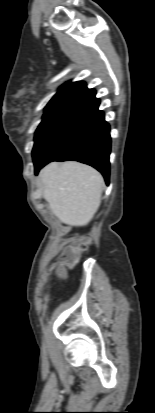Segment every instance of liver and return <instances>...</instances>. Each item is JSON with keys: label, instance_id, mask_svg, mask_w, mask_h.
<instances>
[{"label": "liver", "instance_id": "liver-1", "mask_svg": "<svg viewBox=\"0 0 155 413\" xmlns=\"http://www.w3.org/2000/svg\"><path fill=\"white\" fill-rule=\"evenodd\" d=\"M43 197L64 224L87 225L97 212L104 180L94 168L75 161L52 162L39 174Z\"/></svg>", "mask_w": 155, "mask_h": 413}]
</instances>
